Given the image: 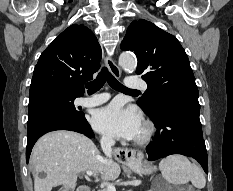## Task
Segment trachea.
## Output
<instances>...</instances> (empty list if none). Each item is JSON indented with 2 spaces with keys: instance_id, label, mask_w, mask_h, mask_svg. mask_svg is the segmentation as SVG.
I'll list each match as a JSON object with an SVG mask.
<instances>
[{
  "instance_id": "3493384b",
  "label": "trachea",
  "mask_w": 233,
  "mask_h": 191,
  "mask_svg": "<svg viewBox=\"0 0 233 191\" xmlns=\"http://www.w3.org/2000/svg\"><path fill=\"white\" fill-rule=\"evenodd\" d=\"M106 80L107 83L115 90L122 92H138V90L128 89L122 85L111 73L108 72V69L104 67L94 81L85 85L88 93L93 94L100 90L105 84Z\"/></svg>"
}]
</instances>
